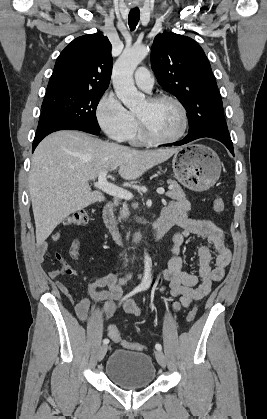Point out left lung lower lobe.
Returning a JSON list of instances; mask_svg holds the SVG:
<instances>
[{
  "mask_svg": "<svg viewBox=\"0 0 267 419\" xmlns=\"http://www.w3.org/2000/svg\"><path fill=\"white\" fill-rule=\"evenodd\" d=\"M211 121H212L211 117H206V118L200 117V119L195 120L189 126V132L183 140L175 142L168 146H171V145L179 146V145L189 143L195 139L209 137V138H213L222 142L229 149V151L234 155L233 143L231 141L228 129H224L219 132H212Z\"/></svg>",
  "mask_w": 267,
  "mask_h": 419,
  "instance_id": "obj_1",
  "label": "left lung lower lobe"
}]
</instances>
